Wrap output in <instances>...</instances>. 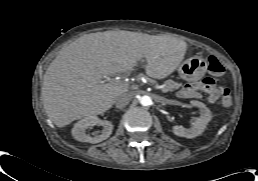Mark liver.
I'll use <instances>...</instances> for the list:
<instances>
[{"label": "liver", "mask_w": 258, "mask_h": 181, "mask_svg": "<svg viewBox=\"0 0 258 181\" xmlns=\"http://www.w3.org/2000/svg\"><path fill=\"white\" fill-rule=\"evenodd\" d=\"M186 48L171 36L124 30L82 36L63 49L44 74L45 112L57 127L102 114L129 90L127 83H105L104 78L131 71L143 60L149 77L166 78L184 59Z\"/></svg>", "instance_id": "6515ba94"}]
</instances>
